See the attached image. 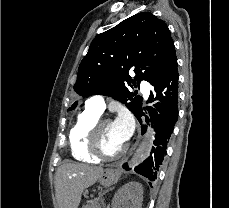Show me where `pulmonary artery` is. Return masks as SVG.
<instances>
[{
	"label": "pulmonary artery",
	"instance_id": "1",
	"mask_svg": "<svg viewBox=\"0 0 229 208\" xmlns=\"http://www.w3.org/2000/svg\"><path fill=\"white\" fill-rule=\"evenodd\" d=\"M143 82V79H140ZM142 91L145 96H148L150 91V85L148 83L142 84ZM86 108L96 112L101 115L105 109V101L102 95H94L86 101Z\"/></svg>",
	"mask_w": 229,
	"mask_h": 208
}]
</instances>
